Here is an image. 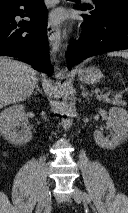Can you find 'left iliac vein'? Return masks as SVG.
<instances>
[{
    "label": "left iliac vein",
    "mask_w": 128,
    "mask_h": 213,
    "mask_svg": "<svg viewBox=\"0 0 128 213\" xmlns=\"http://www.w3.org/2000/svg\"><path fill=\"white\" fill-rule=\"evenodd\" d=\"M73 198L78 203H81L83 201L82 193L77 187H74Z\"/></svg>",
    "instance_id": "4c4485c4"
}]
</instances>
